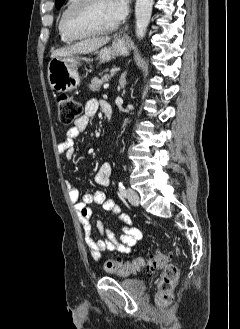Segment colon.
I'll use <instances>...</instances> for the list:
<instances>
[{
    "label": "colon",
    "mask_w": 240,
    "mask_h": 329,
    "mask_svg": "<svg viewBox=\"0 0 240 329\" xmlns=\"http://www.w3.org/2000/svg\"><path fill=\"white\" fill-rule=\"evenodd\" d=\"M58 119L64 125L74 123L82 115V104L79 99L62 94L56 99ZM171 252H157L146 257H138L130 262L105 261L104 269L118 275H129L138 270L145 269L149 272L163 270L158 284L156 302L160 306L169 305L173 301V293L179 278V269L168 264Z\"/></svg>",
    "instance_id": "5ec220e1"
}]
</instances>
